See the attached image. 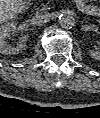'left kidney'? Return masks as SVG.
I'll use <instances>...</instances> for the list:
<instances>
[{"label":"left kidney","mask_w":100,"mask_h":118,"mask_svg":"<svg viewBox=\"0 0 100 118\" xmlns=\"http://www.w3.org/2000/svg\"><path fill=\"white\" fill-rule=\"evenodd\" d=\"M89 54L94 59H97V60L100 59V52L97 50H91Z\"/></svg>","instance_id":"left-kidney-1"}]
</instances>
